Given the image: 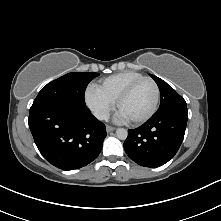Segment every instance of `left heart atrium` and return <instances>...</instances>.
<instances>
[{
	"label": "left heart atrium",
	"instance_id": "39dd6f15",
	"mask_svg": "<svg viewBox=\"0 0 221 221\" xmlns=\"http://www.w3.org/2000/svg\"><path fill=\"white\" fill-rule=\"evenodd\" d=\"M116 121L117 122H125L127 121L128 119L121 113L119 112L117 115H116Z\"/></svg>",
	"mask_w": 221,
	"mask_h": 221
}]
</instances>
